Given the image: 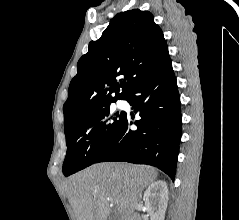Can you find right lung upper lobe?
Returning a JSON list of instances; mask_svg holds the SVG:
<instances>
[{
    "mask_svg": "<svg viewBox=\"0 0 239 220\" xmlns=\"http://www.w3.org/2000/svg\"><path fill=\"white\" fill-rule=\"evenodd\" d=\"M169 60L163 32L150 12L133 9L118 13L78 61L63 106L65 130L85 114L125 99L140 81ZM118 76L124 77L120 84Z\"/></svg>",
    "mask_w": 239,
    "mask_h": 220,
    "instance_id": "1",
    "label": "right lung upper lobe"
}]
</instances>
